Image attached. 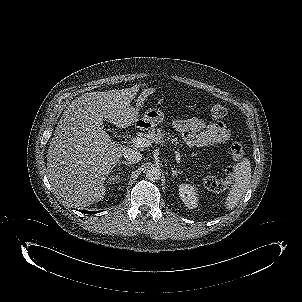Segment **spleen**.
I'll return each instance as SVG.
<instances>
[{
    "instance_id": "3e777b00",
    "label": "spleen",
    "mask_w": 302,
    "mask_h": 302,
    "mask_svg": "<svg viewBox=\"0 0 302 302\" xmlns=\"http://www.w3.org/2000/svg\"><path fill=\"white\" fill-rule=\"evenodd\" d=\"M250 179L251 166L249 160L245 158L238 165L235 183L229 190V193L226 197L225 206L227 208H233L238 204L246 189L248 188Z\"/></svg>"
}]
</instances>
